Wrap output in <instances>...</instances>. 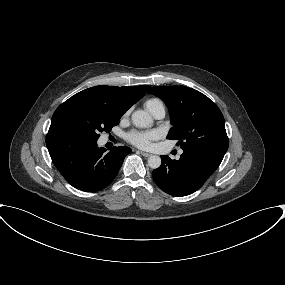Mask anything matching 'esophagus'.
Returning a JSON list of instances; mask_svg holds the SVG:
<instances>
[{"instance_id":"esophagus-1","label":"esophagus","mask_w":285,"mask_h":285,"mask_svg":"<svg viewBox=\"0 0 285 285\" xmlns=\"http://www.w3.org/2000/svg\"><path fill=\"white\" fill-rule=\"evenodd\" d=\"M139 153L144 157H150L151 156V154L147 153V152L139 151Z\"/></svg>"}]
</instances>
